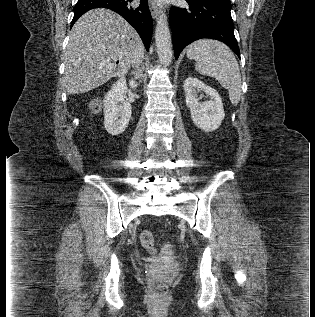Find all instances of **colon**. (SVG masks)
Instances as JSON below:
<instances>
[{
  "instance_id": "obj_1",
  "label": "colon",
  "mask_w": 315,
  "mask_h": 317,
  "mask_svg": "<svg viewBox=\"0 0 315 317\" xmlns=\"http://www.w3.org/2000/svg\"><path fill=\"white\" fill-rule=\"evenodd\" d=\"M140 240L143 247L151 253L156 252L155 240L153 233L150 230H143L140 234ZM151 296L154 299H162L167 294L166 284L157 277H151L148 280Z\"/></svg>"
}]
</instances>
